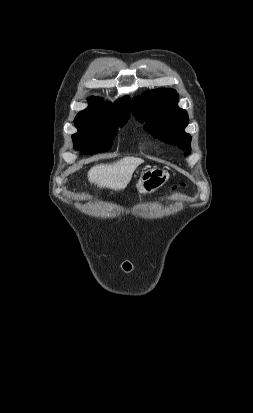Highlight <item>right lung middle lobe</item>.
<instances>
[{"mask_svg":"<svg viewBox=\"0 0 253 413\" xmlns=\"http://www.w3.org/2000/svg\"><path fill=\"white\" fill-rule=\"evenodd\" d=\"M128 118L129 115L95 123L75 124L78 132L72 135L74 149L85 155L108 151L118 127H123Z\"/></svg>","mask_w":253,"mask_h":413,"instance_id":"dd1d6c3e","label":"right lung middle lobe"}]
</instances>
